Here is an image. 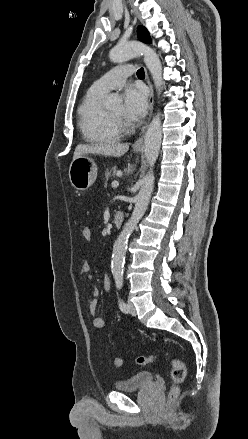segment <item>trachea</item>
<instances>
[{"mask_svg":"<svg viewBox=\"0 0 248 439\" xmlns=\"http://www.w3.org/2000/svg\"><path fill=\"white\" fill-rule=\"evenodd\" d=\"M137 76H138V77H144V76H145V73H144V69H143V68H140V69L137 71Z\"/></svg>","mask_w":248,"mask_h":439,"instance_id":"obj_1","label":"trachea"}]
</instances>
